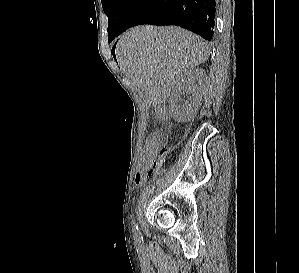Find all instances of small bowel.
Returning a JSON list of instances; mask_svg holds the SVG:
<instances>
[{"instance_id":"small-bowel-1","label":"small bowel","mask_w":299,"mask_h":273,"mask_svg":"<svg viewBox=\"0 0 299 273\" xmlns=\"http://www.w3.org/2000/svg\"><path fill=\"white\" fill-rule=\"evenodd\" d=\"M144 182V180H137V178L135 177V183L137 184V185H140V184H142Z\"/></svg>"}]
</instances>
